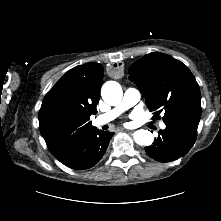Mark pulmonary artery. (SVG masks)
Here are the masks:
<instances>
[{
  "instance_id": "pulmonary-artery-1",
  "label": "pulmonary artery",
  "mask_w": 221,
  "mask_h": 221,
  "mask_svg": "<svg viewBox=\"0 0 221 221\" xmlns=\"http://www.w3.org/2000/svg\"><path fill=\"white\" fill-rule=\"evenodd\" d=\"M140 97H141L140 92L137 89L134 88L126 89L120 105L96 117L93 121L94 125L96 127H99L109 123L110 121L115 119L119 114H121L123 111L136 105L139 102ZM160 126L162 129H165L166 127L164 123H161Z\"/></svg>"
}]
</instances>
